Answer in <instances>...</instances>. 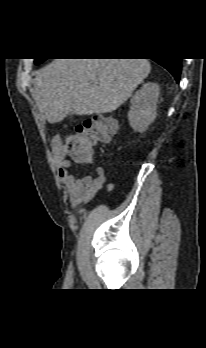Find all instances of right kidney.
Listing matches in <instances>:
<instances>
[{
  "label": "right kidney",
  "mask_w": 206,
  "mask_h": 348,
  "mask_svg": "<svg viewBox=\"0 0 206 348\" xmlns=\"http://www.w3.org/2000/svg\"><path fill=\"white\" fill-rule=\"evenodd\" d=\"M159 94V85L149 82L133 95L128 120L134 131L144 132L155 120Z\"/></svg>",
  "instance_id": "1"
}]
</instances>
